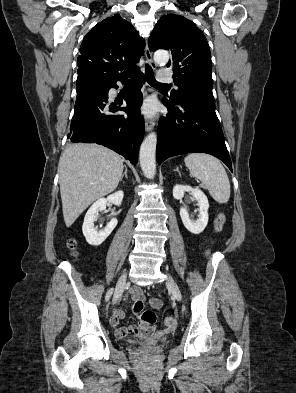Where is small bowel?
Wrapping results in <instances>:
<instances>
[{
    "mask_svg": "<svg viewBox=\"0 0 296 393\" xmlns=\"http://www.w3.org/2000/svg\"><path fill=\"white\" fill-rule=\"evenodd\" d=\"M125 297H130L133 300L141 299L143 302L146 301V298L144 297L141 288L136 286L129 288ZM147 302L152 308L156 310H158L162 304L161 300L157 298L149 299L147 300ZM124 317V309L122 307H118L114 311V314L110 320L112 328L114 329L116 335L119 337H125L129 334H133L137 337H146L151 335L155 330L154 326H149L143 321H140L138 325H129L127 327H122L119 325V323L122 319H124Z\"/></svg>",
    "mask_w": 296,
    "mask_h": 393,
    "instance_id": "obj_1",
    "label": "small bowel"
}]
</instances>
